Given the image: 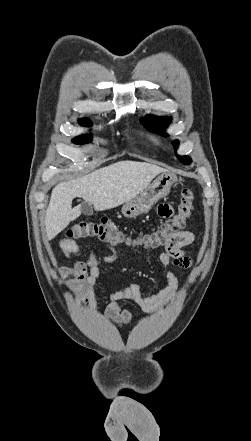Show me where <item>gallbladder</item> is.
Segmentation results:
<instances>
[{
	"label": "gallbladder",
	"instance_id": "gallbladder-1",
	"mask_svg": "<svg viewBox=\"0 0 251 441\" xmlns=\"http://www.w3.org/2000/svg\"><path fill=\"white\" fill-rule=\"evenodd\" d=\"M80 210L84 215H92L93 213L92 205L89 202H83L80 205Z\"/></svg>",
	"mask_w": 251,
	"mask_h": 441
}]
</instances>
